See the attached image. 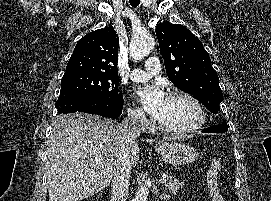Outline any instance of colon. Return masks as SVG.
I'll return each instance as SVG.
<instances>
[{
    "label": "colon",
    "instance_id": "1",
    "mask_svg": "<svg viewBox=\"0 0 271 201\" xmlns=\"http://www.w3.org/2000/svg\"><path fill=\"white\" fill-rule=\"evenodd\" d=\"M220 168H221V157L219 155H215L212 158V161L207 173V181L211 190L214 192L215 201H222L221 197L219 196L217 192V187H216V180H217V176L220 171Z\"/></svg>",
    "mask_w": 271,
    "mask_h": 201
}]
</instances>
